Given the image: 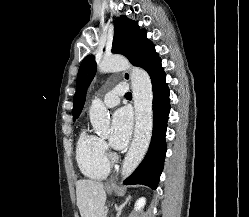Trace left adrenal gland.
Returning a JSON list of instances; mask_svg holds the SVG:
<instances>
[{
	"label": "left adrenal gland",
	"mask_w": 249,
	"mask_h": 217,
	"mask_svg": "<svg viewBox=\"0 0 249 217\" xmlns=\"http://www.w3.org/2000/svg\"><path fill=\"white\" fill-rule=\"evenodd\" d=\"M130 199H131V196L129 195V196L126 198L125 202H124L121 206H119V207L116 206V211H117V216H116V217H120V215H121V213H122L123 207L127 204V202H128Z\"/></svg>",
	"instance_id": "a2214340"
}]
</instances>
